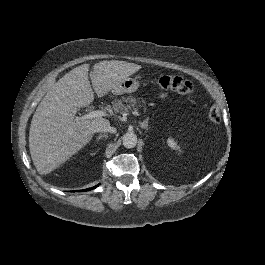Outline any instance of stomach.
<instances>
[{
  "mask_svg": "<svg viewBox=\"0 0 265 265\" xmlns=\"http://www.w3.org/2000/svg\"><path fill=\"white\" fill-rule=\"evenodd\" d=\"M138 82L135 79L124 78L117 81L112 88H110V93L112 95H120L123 93L133 92L138 87Z\"/></svg>",
  "mask_w": 265,
  "mask_h": 265,
  "instance_id": "0dacf381",
  "label": "stomach"
}]
</instances>
